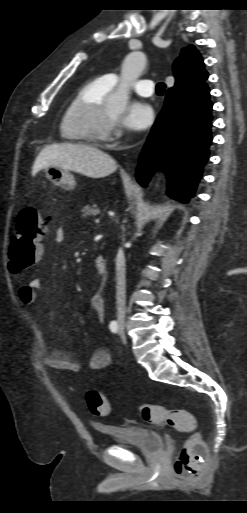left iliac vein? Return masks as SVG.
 Segmentation results:
<instances>
[{
  "label": "left iliac vein",
  "instance_id": "obj_1",
  "mask_svg": "<svg viewBox=\"0 0 247 513\" xmlns=\"http://www.w3.org/2000/svg\"><path fill=\"white\" fill-rule=\"evenodd\" d=\"M121 335H122V338H123V339H125V336H124V334H123V332H122V331H121Z\"/></svg>",
  "mask_w": 247,
  "mask_h": 513
}]
</instances>
